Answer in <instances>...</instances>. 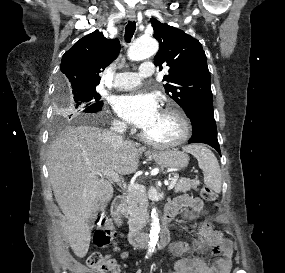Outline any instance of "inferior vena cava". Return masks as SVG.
I'll return each instance as SVG.
<instances>
[{"label":"inferior vena cava","mask_w":285,"mask_h":273,"mask_svg":"<svg viewBox=\"0 0 285 273\" xmlns=\"http://www.w3.org/2000/svg\"><path fill=\"white\" fill-rule=\"evenodd\" d=\"M126 124L120 121H114L110 131H107L112 142L121 144L123 142L122 134L126 131Z\"/></svg>","instance_id":"1"}]
</instances>
